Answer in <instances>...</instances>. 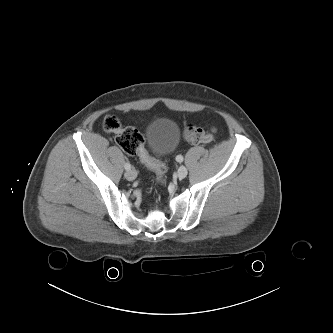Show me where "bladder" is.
Masks as SVG:
<instances>
[{
  "mask_svg": "<svg viewBox=\"0 0 333 333\" xmlns=\"http://www.w3.org/2000/svg\"><path fill=\"white\" fill-rule=\"evenodd\" d=\"M148 153L157 158L172 152L180 138L178 125L168 118L154 120L146 131Z\"/></svg>",
  "mask_w": 333,
  "mask_h": 333,
  "instance_id": "obj_1",
  "label": "bladder"
}]
</instances>
